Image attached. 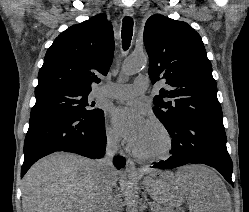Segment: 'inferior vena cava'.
Instances as JSON below:
<instances>
[{
  "instance_id": "602c4592",
  "label": "inferior vena cava",
  "mask_w": 249,
  "mask_h": 212,
  "mask_svg": "<svg viewBox=\"0 0 249 212\" xmlns=\"http://www.w3.org/2000/svg\"><path fill=\"white\" fill-rule=\"evenodd\" d=\"M118 138H108L105 150V156L101 160H96L99 166L96 184V200L98 202L97 212H114V204L112 200L113 180L111 178V170H113V158L118 150Z\"/></svg>"
}]
</instances>
